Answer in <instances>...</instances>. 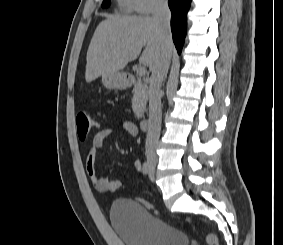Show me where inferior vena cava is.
<instances>
[{
    "label": "inferior vena cava",
    "mask_w": 283,
    "mask_h": 245,
    "mask_svg": "<svg viewBox=\"0 0 283 245\" xmlns=\"http://www.w3.org/2000/svg\"><path fill=\"white\" fill-rule=\"evenodd\" d=\"M152 18L158 24L162 41V56L158 64L153 68L149 85V122L146 137V156L148 159H156V146L161 130V85L166 77L171 60L172 36L170 30L171 13L165 0H153Z\"/></svg>",
    "instance_id": "obj_1"
}]
</instances>
